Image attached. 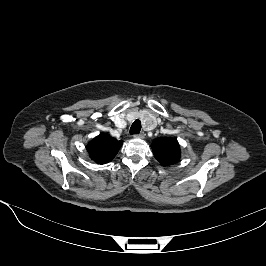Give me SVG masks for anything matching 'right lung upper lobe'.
<instances>
[{"mask_svg":"<svg viewBox=\"0 0 266 266\" xmlns=\"http://www.w3.org/2000/svg\"><path fill=\"white\" fill-rule=\"evenodd\" d=\"M122 144V140L118 141L108 134L101 133L88 143L87 151L96 163L105 164L115 157Z\"/></svg>","mask_w":266,"mask_h":266,"instance_id":"obj_1","label":"right lung upper lobe"}]
</instances>
